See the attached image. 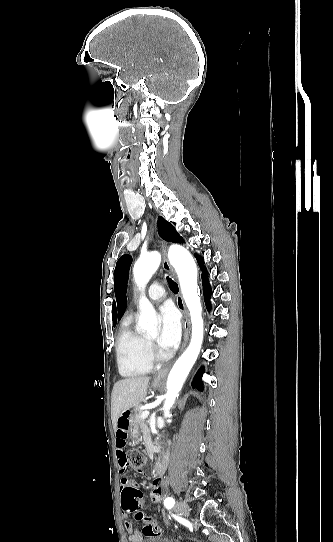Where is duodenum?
Masks as SVG:
<instances>
[{
	"mask_svg": "<svg viewBox=\"0 0 333 542\" xmlns=\"http://www.w3.org/2000/svg\"><path fill=\"white\" fill-rule=\"evenodd\" d=\"M166 462H167V459L166 457L161 461L159 462L158 464H156L154 467H153V470H154V474L156 476H162L164 470H165V467H166Z\"/></svg>",
	"mask_w": 333,
	"mask_h": 542,
	"instance_id": "duodenum-1",
	"label": "duodenum"
}]
</instances>
